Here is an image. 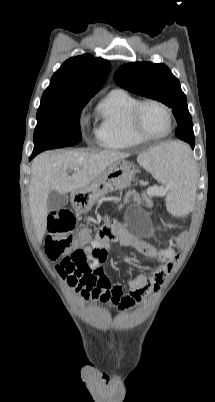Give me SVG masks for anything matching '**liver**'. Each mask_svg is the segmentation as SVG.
I'll return each instance as SVG.
<instances>
[{"label": "liver", "mask_w": 215, "mask_h": 402, "mask_svg": "<svg viewBox=\"0 0 215 402\" xmlns=\"http://www.w3.org/2000/svg\"><path fill=\"white\" fill-rule=\"evenodd\" d=\"M128 154L117 151L42 153L31 165L29 205L32 223L39 242L47 228V199L51 190L62 194L84 188L97 179L112 164ZM191 159V158H190ZM72 176L68 175L73 170ZM169 202V201H168ZM169 210V209H168Z\"/></svg>", "instance_id": "1"}]
</instances>
